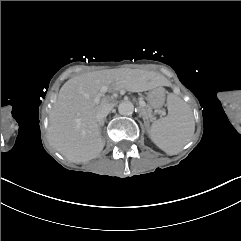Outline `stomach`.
Listing matches in <instances>:
<instances>
[{
    "label": "stomach",
    "instance_id": "stomach-1",
    "mask_svg": "<svg viewBox=\"0 0 241 241\" xmlns=\"http://www.w3.org/2000/svg\"><path fill=\"white\" fill-rule=\"evenodd\" d=\"M165 102V91L163 88H157L148 93V103L152 108H161Z\"/></svg>",
    "mask_w": 241,
    "mask_h": 241
}]
</instances>
